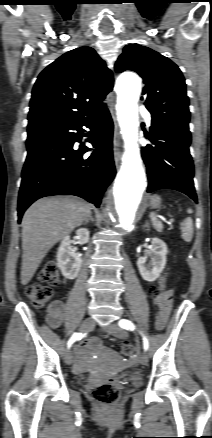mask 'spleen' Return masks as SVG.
Listing matches in <instances>:
<instances>
[{"label":"spleen","mask_w":212,"mask_h":438,"mask_svg":"<svg viewBox=\"0 0 212 438\" xmlns=\"http://www.w3.org/2000/svg\"><path fill=\"white\" fill-rule=\"evenodd\" d=\"M150 218L152 220L154 228L157 231L161 232L163 230V225H162L161 221H159L157 219V217L155 216L154 212L150 213ZM180 229H181V232H182V234H181L182 239L185 242H191L192 237H193V221H192V218L187 217L186 219H184L181 222Z\"/></svg>","instance_id":"obj_1"}]
</instances>
